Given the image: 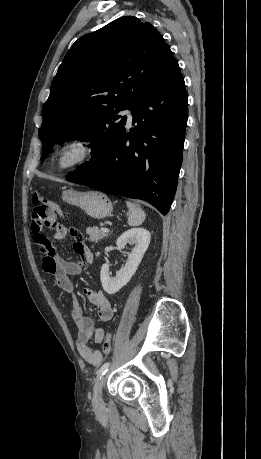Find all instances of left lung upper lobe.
I'll return each instance as SVG.
<instances>
[{
    "instance_id": "5c2ea615",
    "label": "left lung upper lobe",
    "mask_w": 261,
    "mask_h": 459,
    "mask_svg": "<svg viewBox=\"0 0 261 459\" xmlns=\"http://www.w3.org/2000/svg\"><path fill=\"white\" fill-rule=\"evenodd\" d=\"M176 62L161 34L148 22L125 16L82 36L70 48L42 107L39 130L43 162L53 145L91 141V169L125 131L119 112L154 88Z\"/></svg>"
}]
</instances>
